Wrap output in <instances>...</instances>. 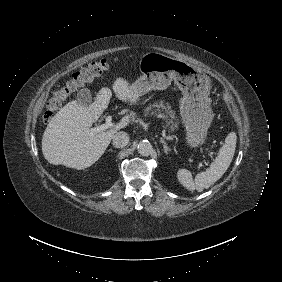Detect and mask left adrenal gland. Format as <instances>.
I'll use <instances>...</instances> for the list:
<instances>
[{"label":"left adrenal gland","instance_id":"obj_1","mask_svg":"<svg viewBox=\"0 0 282 282\" xmlns=\"http://www.w3.org/2000/svg\"><path fill=\"white\" fill-rule=\"evenodd\" d=\"M160 142L163 144V151L166 152L169 148L164 138H160Z\"/></svg>","mask_w":282,"mask_h":282}]
</instances>
